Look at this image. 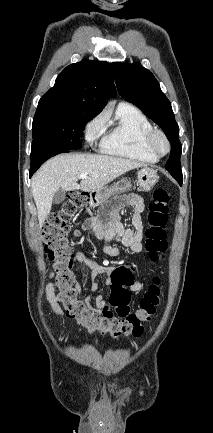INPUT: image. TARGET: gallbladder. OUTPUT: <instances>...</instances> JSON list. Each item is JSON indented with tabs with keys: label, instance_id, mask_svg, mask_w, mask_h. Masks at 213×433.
<instances>
[{
	"label": "gallbladder",
	"instance_id": "gallbladder-1",
	"mask_svg": "<svg viewBox=\"0 0 213 433\" xmlns=\"http://www.w3.org/2000/svg\"><path fill=\"white\" fill-rule=\"evenodd\" d=\"M65 198H66V191L60 188L55 192L53 196V203L60 204L65 200Z\"/></svg>",
	"mask_w": 213,
	"mask_h": 433
}]
</instances>
